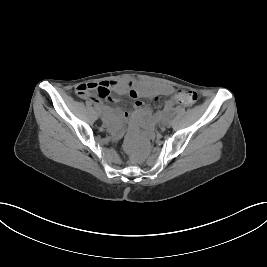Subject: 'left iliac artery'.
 <instances>
[{
  "label": "left iliac artery",
  "instance_id": "obj_1",
  "mask_svg": "<svg viewBox=\"0 0 267 267\" xmlns=\"http://www.w3.org/2000/svg\"><path fill=\"white\" fill-rule=\"evenodd\" d=\"M171 119H172V117H171V116H167V117L164 119V121H165V122H170V121H171Z\"/></svg>",
  "mask_w": 267,
  "mask_h": 267
}]
</instances>
